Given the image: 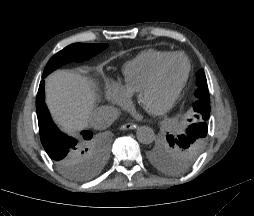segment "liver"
<instances>
[{"label":"liver","mask_w":254,"mask_h":216,"mask_svg":"<svg viewBox=\"0 0 254 216\" xmlns=\"http://www.w3.org/2000/svg\"><path fill=\"white\" fill-rule=\"evenodd\" d=\"M98 96L88 78L57 70L46 80V103L55 122L66 132L86 128Z\"/></svg>","instance_id":"6515ba94"}]
</instances>
